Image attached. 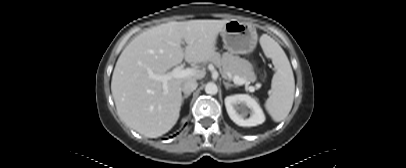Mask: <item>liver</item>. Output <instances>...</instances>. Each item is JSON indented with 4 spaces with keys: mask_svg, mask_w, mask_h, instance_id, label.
Here are the masks:
<instances>
[{
    "mask_svg": "<svg viewBox=\"0 0 406 168\" xmlns=\"http://www.w3.org/2000/svg\"><path fill=\"white\" fill-rule=\"evenodd\" d=\"M228 20L168 22L148 29L122 51L115 65L111 92L120 119L147 137L167 133L179 119L182 84L202 79L205 72L194 69L185 78H172L167 91L150 73L163 75L183 59L189 63L210 61L216 54L218 34ZM187 45L185 49L181 43Z\"/></svg>",
    "mask_w": 406,
    "mask_h": 168,
    "instance_id": "liver-1",
    "label": "liver"
}]
</instances>
